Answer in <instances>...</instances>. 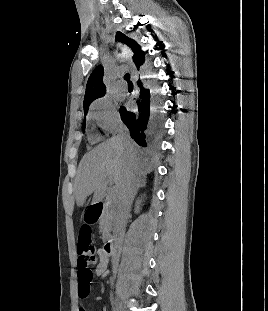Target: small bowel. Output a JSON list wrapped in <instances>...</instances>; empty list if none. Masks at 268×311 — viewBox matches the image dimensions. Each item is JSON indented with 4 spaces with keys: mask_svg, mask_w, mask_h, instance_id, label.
<instances>
[{
    "mask_svg": "<svg viewBox=\"0 0 268 311\" xmlns=\"http://www.w3.org/2000/svg\"><path fill=\"white\" fill-rule=\"evenodd\" d=\"M97 255H98V262H97V265L95 268V274H96V276L100 277L106 273L109 257L105 253L104 249L101 247L97 248ZM77 293H78L79 298H84V297L79 295V285L77 288ZM80 311H84V310L81 308Z\"/></svg>",
    "mask_w": 268,
    "mask_h": 311,
    "instance_id": "obj_1",
    "label": "small bowel"
}]
</instances>
